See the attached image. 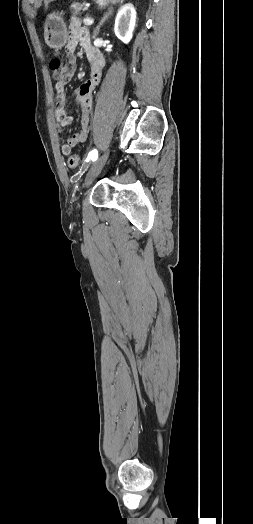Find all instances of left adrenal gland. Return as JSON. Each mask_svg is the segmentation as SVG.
Listing matches in <instances>:
<instances>
[{
	"label": "left adrenal gland",
	"mask_w": 253,
	"mask_h": 524,
	"mask_svg": "<svg viewBox=\"0 0 253 524\" xmlns=\"http://www.w3.org/2000/svg\"><path fill=\"white\" fill-rule=\"evenodd\" d=\"M113 12V9L110 8L108 10V12L105 14V16L102 18V20L100 21L99 25L94 29V34H93V38H96V36L98 35L99 33V30H100V27L104 24V22L107 20V18L109 17V15H111Z\"/></svg>",
	"instance_id": "obj_1"
}]
</instances>
